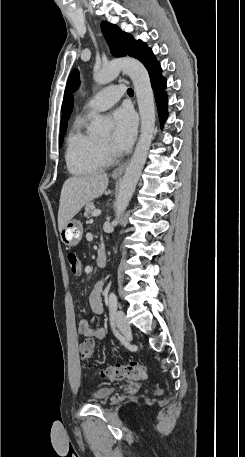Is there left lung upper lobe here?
I'll return each mask as SVG.
<instances>
[{
    "label": "left lung upper lobe",
    "instance_id": "1",
    "mask_svg": "<svg viewBox=\"0 0 245 457\" xmlns=\"http://www.w3.org/2000/svg\"><path fill=\"white\" fill-rule=\"evenodd\" d=\"M101 29L105 39L110 47L111 53L115 57L132 56L138 60H142L151 51L145 43L140 40H135L131 34L123 32L117 25L107 21L101 23ZM79 73L74 70L67 81L62 110L68 103L71 95L79 86Z\"/></svg>",
    "mask_w": 245,
    "mask_h": 457
}]
</instances>
